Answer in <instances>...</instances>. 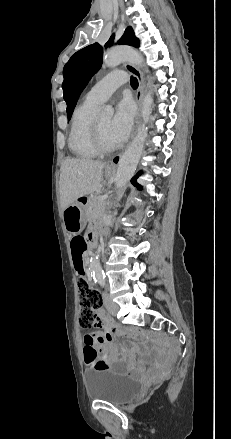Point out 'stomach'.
Here are the masks:
<instances>
[{
    "mask_svg": "<svg viewBox=\"0 0 231 439\" xmlns=\"http://www.w3.org/2000/svg\"><path fill=\"white\" fill-rule=\"evenodd\" d=\"M113 173V170L109 167H105V175L111 176ZM81 200V201H79ZM86 198L81 197L78 200H76L75 203L71 204L64 210V225L66 230L70 234H76L78 231H80L83 227V221L82 218L79 217L80 212L83 210L84 202Z\"/></svg>",
    "mask_w": 231,
    "mask_h": 439,
    "instance_id": "1",
    "label": "stomach"
}]
</instances>
